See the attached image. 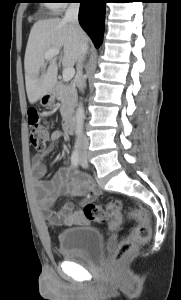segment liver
<instances>
[{
  "instance_id": "obj_1",
  "label": "liver",
  "mask_w": 181,
  "mask_h": 300,
  "mask_svg": "<svg viewBox=\"0 0 181 300\" xmlns=\"http://www.w3.org/2000/svg\"><path fill=\"white\" fill-rule=\"evenodd\" d=\"M88 38L79 25L52 18L37 21L29 34L25 58V83L28 100L36 103L44 94L52 91L57 83V57L49 60L46 69L44 55L49 49H62V65L73 67L80 55L81 43Z\"/></svg>"
}]
</instances>
